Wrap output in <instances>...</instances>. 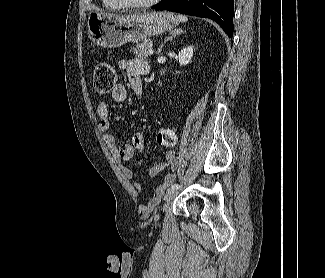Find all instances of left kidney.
I'll use <instances>...</instances> for the list:
<instances>
[{
  "mask_svg": "<svg viewBox=\"0 0 325 278\" xmlns=\"http://www.w3.org/2000/svg\"><path fill=\"white\" fill-rule=\"evenodd\" d=\"M193 57V47L189 46L184 49H182L179 52L178 59H179V64L181 66H185L191 62V59Z\"/></svg>",
  "mask_w": 325,
  "mask_h": 278,
  "instance_id": "obj_1",
  "label": "left kidney"
}]
</instances>
